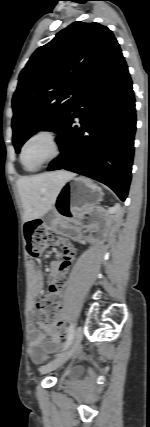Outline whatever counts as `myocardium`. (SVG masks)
<instances>
[{"label": "myocardium", "instance_id": "f54148a6", "mask_svg": "<svg viewBox=\"0 0 150 427\" xmlns=\"http://www.w3.org/2000/svg\"><path fill=\"white\" fill-rule=\"evenodd\" d=\"M40 137L47 138L51 142L52 147H53V153L48 158H46L45 160H43L39 164H37L35 167L28 168L24 164L25 149L30 142H32L33 140L40 138ZM61 153H62V141H61V137H60L59 133L53 129L42 128V129H38V130L34 131L25 139V141L23 142V144L21 146V150H20V154H19V161H20V164L24 170H26L28 172H34V171L41 169L42 167L49 164L50 162L54 161L55 159H57L61 155Z\"/></svg>", "mask_w": 150, "mask_h": 427}]
</instances>
